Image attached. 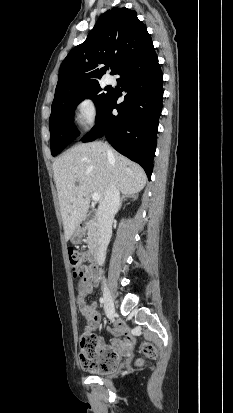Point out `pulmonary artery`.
<instances>
[{"mask_svg":"<svg viewBox=\"0 0 233 413\" xmlns=\"http://www.w3.org/2000/svg\"><path fill=\"white\" fill-rule=\"evenodd\" d=\"M114 82H115V80L112 76H107L106 77V83L107 84L111 85V84H114Z\"/></svg>","mask_w":233,"mask_h":413,"instance_id":"1","label":"pulmonary artery"}]
</instances>
